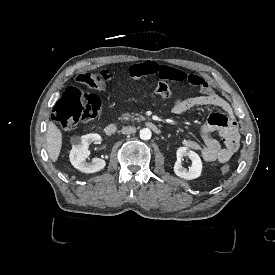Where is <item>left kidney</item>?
Listing matches in <instances>:
<instances>
[{
  "label": "left kidney",
  "mask_w": 275,
  "mask_h": 275,
  "mask_svg": "<svg viewBox=\"0 0 275 275\" xmlns=\"http://www.w3.org/2000/svg\"><path fill=\"white\" fill-rule=\"evenodd\" d=\"M176 156L177 161L174 165V172L177 176L186 180H192L198 178L201 175L202 162L197 153L189 150L187 147H180L176 152ZM183 156H188L192 161V165L189 167L188 171L181 165V159Z\"/></svg>",
  "instance_id": "obj_1"
}]
</instances>
